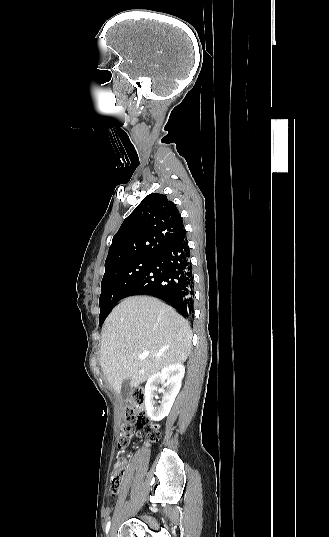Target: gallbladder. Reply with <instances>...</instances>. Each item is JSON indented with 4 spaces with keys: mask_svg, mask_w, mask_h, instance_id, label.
Wrapping results in <instances>:
<instances>
[{
    "mask_svg": "<svg viewBox=\"0 0 329 537\" xmlns=\"http://www.w3.org/2000/svg\"><path fill=\"white\" fill-rule=\"evenodd\" d=\"M131 392H132L131 380L126 379V380L123 381V383L121 385L120 394H121L122 397L126 398L131 394Z\"/></svg>",
    "mask_w": 329,
    "mask_h": 537,
    "instance_id": "gallbladder-1",
    "label": "gallbladder"
}]
</instances>
